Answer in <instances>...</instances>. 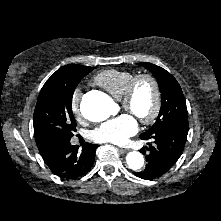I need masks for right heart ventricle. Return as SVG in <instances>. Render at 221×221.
I'll return each mask as SVG.
<instances>
[{
    "mask_svg": "<svg viewBox=\"0 0 221 221\" xmlns=\"http://www.w3.org/2000/svg\"><path fill=\"white\" fill-rule=\"evenodd\" d=\"M133 77L134 74L129 71L108 69L98 73L94 78V83L120 99L127 84Z\"/></svg>",
    "mask_w": 221,
    "mask_h": 221,
    "instance_id": "right-heart-ventricle-1",
    "label": "right heart ventricle"
}]
</instances>
